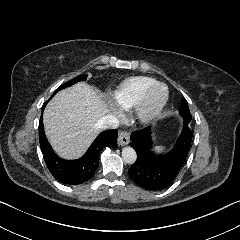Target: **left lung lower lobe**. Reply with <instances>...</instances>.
I'll list each match as a JSON object with an SVG mask.
<instances>
[{"label":"left lung lower lobe","instance_id":"obj_1","mask_svg":"<svg viewBox=\"0 0 240 240\" xmlns=\"http://www.w3.org/2000/svg\"><path fill=\"white\" fill-rule=\"evenodd\" d=\"M184 126L175 147L166 154L156 155L151 151V128L131 134L130 145L137 153V160L128 170L131 179L147 190H161L171 184L184 164L192 141V131Z\"/></svg>","mask_w":240,"mask_h":240}]
</instances>
